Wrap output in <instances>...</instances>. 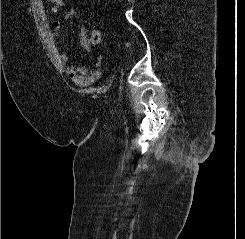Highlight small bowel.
<instances>
[{
	"label": "small bowel",
	"instance_id": "obj_1",
	"mask_svg": "<svg viewBox=\"0 0 245 239\" xmlns=\"http://www.w3.org/2000/svg\"><path fill=\"white\" fill-rule=\"evenodd\" d=\"M52 3V12L58 13L62 7H64L65 3L63 0H54ZM78 16V12L76 9H69L65 13V19H73ZM61 28V21L57 20L53 22L51 26L52 33L54 35H59ZM100 39V33H93V40L97 41ZM81 47L87 52H92V46L88 39L86 32L81 33L80 38ZM61 61L65 65L66 73L70 77V79L80 87H85L97 82L102 75V57L97 56L94 67L91 71L83 67H76L71 63L70 56L68 54L61 55Z\"/></svg>",
	"mask_w": 245,
	"mask_h": 239
}]
</instances>
